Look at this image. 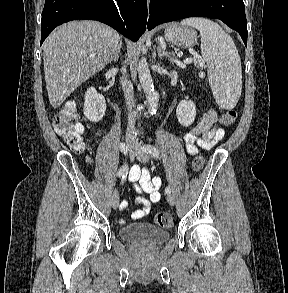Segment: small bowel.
Segmentation results:
<instances>
[{
    "label": "small bowel",
    "instance_id": "small-bowel-1",
    "mask_svg": "<svg viewBox=\"0 0 288 293\" xmlns=\"http://www.w3.org/2000/svg\"><path fill=\"white\" fill-rule=\"evenodd\" d=\"M216 121V112L209 109L203 114L198 124L184 134L182 139L189 155L197 154L199 148L211 149L223 139L225 132L216 126ZM129 179L138 194L136 202L142 206L131 214V218L140 220L146 217L152 205L161 199L162 180L158 176L152 177L147 169H142L139 165L131 168ZM126 206L127 202L123 201L121 208Z\"/></svg>",
    "mask_w": 288,
    "mask_h": 293
}]
</instances>
